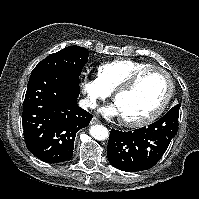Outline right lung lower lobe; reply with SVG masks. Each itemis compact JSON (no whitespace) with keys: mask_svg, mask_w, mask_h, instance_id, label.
Returning a JSON list of instances; mask_svg holds the SVG:
<instances>
[{"mask_svg":"<svg viewBox=\"0 0 199 199\" xmlns=\"http://www.w3.org/2000/svg\"><path fill=\"white\" fill-rule=\"evenodd\" d=\"M79 81L62 71L30 75L22 125L28 150L47 163L72 157L76 133L92 115L77 105Z\"/></svg>","mask_w":199,"mask_h":199,"instance_id":"98d812e1","label":"right lung lower lobe"}]
</instances>
